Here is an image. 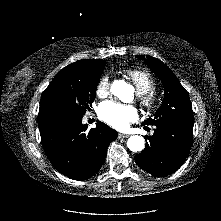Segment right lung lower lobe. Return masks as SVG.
Listing matches in <instances>:
<instances>
[{
    "instance_id": "obj_1",
    "label": "right lung lower lobe",
    "mask_w": 221,
    "mask_h": 221,
    "mask_svg": "<svg viewBox=\"0 0 221 221\" xmlns=\"http://www.w3.org/2000/svg\"><path fill=\"white\" fill-rule=\"evenodd\" d=\"M87 128L82 124V116L39 128L44 151L53 167L74 180L88 179L101 168L109 144L118 135L100 121L96 128Z\"/></svg>"
}]
</instances>
